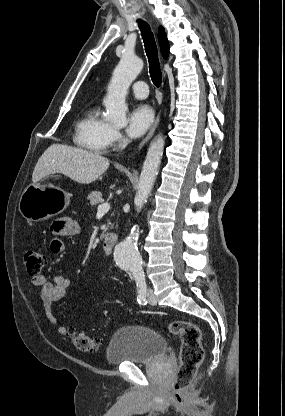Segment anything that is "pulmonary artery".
Returning a JSON list of instances; mask_svg holds the SVG:
<instances>
[{"label":"pulmonary artery","mask_w":285,"mask_h":416,"mask_svg":"<svg viewBox=\"0 0 285 416\" xmlns=\"http://www.w3.org/2000/svg\"><path fill=\"white\" fill-rule=\"evenodd\" d=\"M145 85V82L137 81L131 85L130 89L137 98H145L148 94V89L146 87H143Z\"/></svg>","instance_id":"pulmonary-artery-1"}]
</instances>
